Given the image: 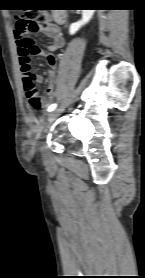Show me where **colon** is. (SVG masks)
I'll use <instances>...</instances> for the list:
<instances>
[{"label": "colon", "instance_id": "5ec220e1", "mask_svg": "<svg viewBox=\"0 0 145 278\" xmlns=\"http://www.w3.org/2000/svg\"><path fill=\"white\" fill-rule=\"evenodd\" d=\"M36 11H29L27 17L19 20L15 25V33H21L26 30L38 31L43 30L47 26V19L43 16L33 17ZM19 54H34L39 51V47L31 38H26L23 40L22 45L19 46ZM47 59L53 60L54 53L47 52ZM30 63H28L24 68V89L26 92L27 100L29 106L34 110L42 109L44 106V101L40 96L38 89V79L35 74L30 71Z\"/></svg>", "mask_w": 145, "mask_h": 278}]
</instances>
